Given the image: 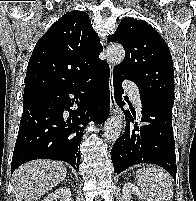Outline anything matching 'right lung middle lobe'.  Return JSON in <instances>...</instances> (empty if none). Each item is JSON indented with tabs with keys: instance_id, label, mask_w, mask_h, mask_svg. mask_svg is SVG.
I'll return each mask as SVG.
<instances>
[{
	"instance_id": "obj_1",
	"label": "right lung middle lobe",
	"mask_w": 196,
	"mask_h": 201,
	"mask_svg": "<svg viewBox=\"0 0 196 201\" xmlns=\"http://www.w3.org/2000/svg\"><path fill=\"white\" fill-rule=\"evenodd\" d=\"M26 98H29V97H23V99H26Z\"/></svg>"
}]
</instances>
